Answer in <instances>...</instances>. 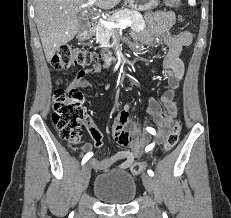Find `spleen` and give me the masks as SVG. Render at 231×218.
Masks as SVG:
<instances>
[{
    "instance_id": "1",
    "label": "spleen",
    "mask_w": 231,
    "mask_h": 218,
    "mask_svg": "<svg viewBox=\"0 0 231 218\" xmlns=\"http://www.w3.org/2000/svg\"><path fill=\"white\" fill-rule=\"evenodd\" d=\"M188 3L190 6H195L196 5V0H188Z\"/></svg>"
}]
</instances>
